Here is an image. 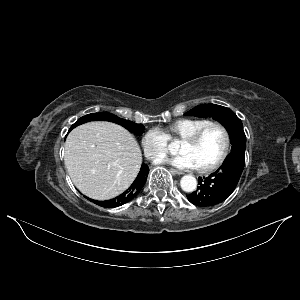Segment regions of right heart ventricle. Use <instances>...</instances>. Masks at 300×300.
Returning a JSON list of instances; mask_svg holds the SVG:
<instances>
[{
	"mask_svg": "<svg viewBox=\"0 0 300 300\" xmlns=\"http://www.w3.org/2000/svg\"><path fill=\"white\" fill-rule=\"evenodd\" d=\"M208 122L210 120L200 118H182L176 120L167 127L168 137L184 139Z\"/></svg>",
	"mask_w": 300,
	"mask_h": 300,
	"instance_id": "obj_1",
	"label": "right heart ventricle"
}]
</instances>
